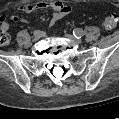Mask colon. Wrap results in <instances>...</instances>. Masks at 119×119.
I'll list each match as a JSON object with an SVG mask.
<instances>
[{
  "label": "colon",
  "mask_w": 119,
  "mask_h": 119,
  "mask_svg": "<svg viewBox=\"0 0 119 119\" xmlns=\"http://www.w3.org/2000/svg\"><path fill=\"white\" fill-rule=\"evenodd\" d=\"M118 17L116 14L111 13L103 19V26L106 30H113L117 26ZM10 41V34L7 29L1 26L0 28V44L6 45Z\"/></svg>",
  "instance_id": "1"
}]
</instances>
